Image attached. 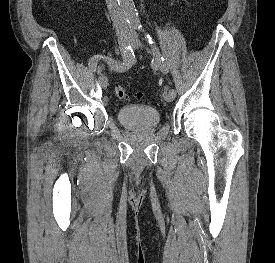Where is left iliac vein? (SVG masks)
<instances>
[{
	"instance_id": "4c4485c4",
	"label": "left iliac vein",
	"mask_w": 275,
	"mask_h": 263,
	"mask_svg": "<svg viewBox=\"0 0 275 263\" xmlns=\"http://www.w3.org/2000/svg\"><path fill=\"white\" fill-rule=\"evenodd\" d=\"M132 44L135 49L142 48V43L140 42L139 38L137 35H134L132 38ZM163 98L167 102H172L175 98V94L170 92V91H165L163 93Z\"/></svg>"
}]
</instances>
